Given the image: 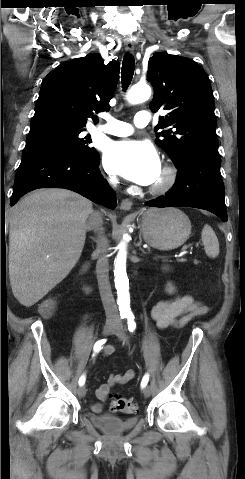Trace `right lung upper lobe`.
Returning <instances> with one entry per match:
<instances>
[{"label": "right lung upper lobe", "instance_id": "right-lung-upper-lobe-1", "mask_svg": "<svg viewBox=\"0 0 245 479\" xmlns=\"http://www.w3.org/2000/svg\"><path fill=\"white\" fill-rule=\"evenodd\" d=\"M118 76V62L105 65L99 54L64 62L42 82L31 128L64 125L84 129L90 117L96 123L93 112L109 110Z\"/></svg>", "mask_w": 245, "mask_h": 479}]
</instances>
